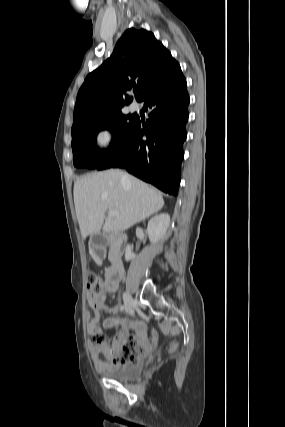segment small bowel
Returning <instances> with one entry per match:
<instances>
[{"label": "small bowel", "instance_id": "obj_1", "mask_svg": "<svg viewBox=\"0 0 285 427\" xmlns=\"http://www.w3.org/2000/svg\"><path fill=\"white\" fill-rule=\"evenodd\" d=\"M119 280H109L106 276V289L108 292L113 293L118 288ZM87 302L91 308V312L88 314V331L95 338L104 337L106 331L110 328H117V336L114 340L113 346L106 350L107 362H103L99 354L102 350V346L96 341L90 343V351L93 362L96 368L102 370L104 368L120 367L129 363L122 364L118 362V356L121 352V348L126 344L127 340L131 337L130 331H135L138 336L140 343L147 349V342L144 335L143 324L140 321L130 320L126 318L117 319L113 315L117 313L118 307L106 306V294H87ZM105 312L110 316L102 320L101 312Z\"/></svg>", "mask_w": 285, "mask_h": 427}]
</instances>
